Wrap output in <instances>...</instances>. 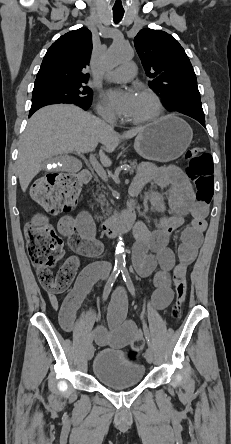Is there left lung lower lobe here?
<instances>
[{
  "instance_id": "obj_1",
  "label": "left lung lower lobe",
  "mask_w": 231,
  "mask_h": 444,
  "mask_svg": "<svg viewBox=\"0 0 231 444\" xmlns=\"http://www.w3.org/2000/svg\"><path fill=\"white\" fill-rule=\"evenodd\" d=\"M194 119H196L198 122H200L204 127H205V119L201 118V117H192Z\"/></svg>"
}]
</instances>
